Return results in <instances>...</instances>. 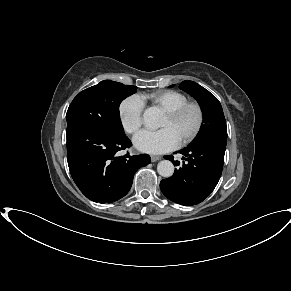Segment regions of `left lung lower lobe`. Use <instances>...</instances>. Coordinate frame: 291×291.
<instances>
[{"instance_id": "obj_1", "label": "left lung lower lobe", "mask_w": 291, "mask_h": 291, "mask_svg": "<svg viewBox=\"0 0 291 291\" xmlns=\"http://www.w3.org/2000/svg\"><path fill=\"white\" fill-rule=\"evenodd\" d=\"M226 141L203 140L191 143L179 151L185 160L174 174L160 182L162 193L181 205H196L202 202L216 187L222 173ZM174 166L180 162L173 156H165Z\"/></svg>"}]
</instances>
